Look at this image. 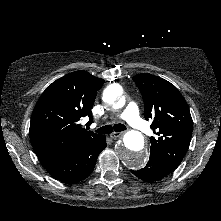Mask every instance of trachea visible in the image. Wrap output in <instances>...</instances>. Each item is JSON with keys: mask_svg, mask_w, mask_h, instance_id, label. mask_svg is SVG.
<instances>
[{"mask_svg": "<svg viewBox=\"0 0 221 221\" xmlns=\"http://www.w3.org/2000/svg\"><path fill=\"white\" fill-rule=\"evenodd\" d=\"M121 132L126 130V127L123 124H115L114 126L111 125H105L99 129H97V132L100 134H110L113 132Z\"/></svg>", "mask_w": 221, "mask_h": 221, "instance_id": "1", "label": "trachea"}]
</instances>
